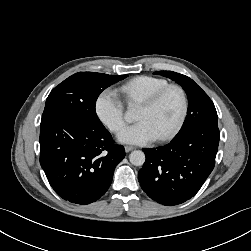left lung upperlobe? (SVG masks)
Segmentation results:
<instances>
[{
  "instance_id": "1",
  "label": "left lung upper lobe",
  "mask_w": 251,
  "mask_h": 251,
  "mask_svg": "<svg viewBox=\"0 0 251 251\" xmlns=\"http://www.w3.org/2000/svg\"><path fill=\"white\" fill-rule=\"evenodd\" d=\"M154 74L174 80L187 94V116L177 135L198 127H218L217 112L213 102L191 78L173 71H157Z\"/></svg>"
}]
</instances>
